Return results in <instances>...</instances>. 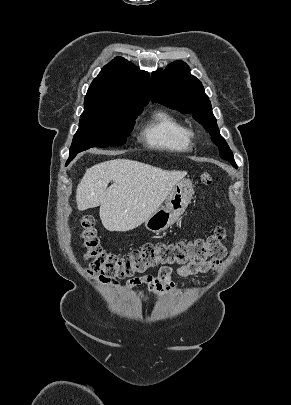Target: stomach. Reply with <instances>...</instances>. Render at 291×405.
I'll return each mask as SVG.
<instances>
[{"label": "stomach", "mask_w": 291, "mask_h": 405, "mask_svg": "<svg viewBox=\"0 0 291 405\" xmlns=\"http://www.w3.org/2000/svg\"><path fill=\"white\" fill-rule=\"evenodd\" d=\"M194 190L192 182L182 179L168 194L165 205L159 207L145 222L146 229L151 232H161L173 225L184 213Z\"/></svg>", "instance_id": "1"}]
</instances>
